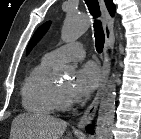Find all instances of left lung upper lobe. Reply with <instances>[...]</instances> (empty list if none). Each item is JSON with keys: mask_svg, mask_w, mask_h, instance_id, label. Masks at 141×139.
I'll return each mask as SVG.
<instances>
[{"mask_svg": "<svg viewBox=\"0 0 141 139\" xmlns=\"http://www.w3.org/2000/svg\"><path fill=\"white\" fill-rule=\"evenodd\" d=\"M49 26L50 22H46L36 30L35 34L33 35L31 41L28 44L27 53H29L32 47L42 38V36L48 30Z\"/></svg>", "mask_w": 141, "mask_h": 139, "instance_id": "obj_1", "label": "left lung upper lobe"}]
</instances>
